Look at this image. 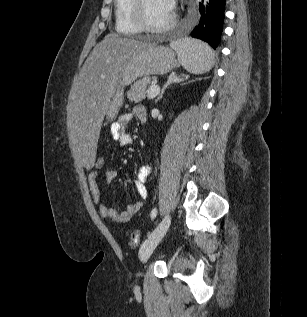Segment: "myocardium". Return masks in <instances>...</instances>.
I'll list each match as a JSON object with an SVG mask.
<instances>
[{
	"label": "myocardium",
	"mask_w": 307,
	"mask_h": 317,
	"mask_svg": "<svg viewBox=\"0 0 307 317\" xmlns=\"http://www.w3.org/2000/svg\"><path fill=\"white\" fill-rule=\"evenodd\" d=\"M145 5L146 0H132V17L141 31L160 34L169 31L176 24L177 17L176 13L173 12L169 22L160 27L152 26L146 19Z\"/></svg>",
	"instance_id": "1"
}]
</instances>
